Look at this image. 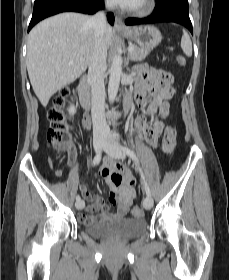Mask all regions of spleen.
Listing matches in <instances>:
<instances>
[{
    "instance_id": "1",
    "label": "spleen",
    "mask_w": 229,
    "mask_h": 280,
    "mask_svg": "<svg viewBox=\"0 0 229 280\" xmlns=\"http://www.w3.org/2000/svg\"><path fill=\"white\" fill-rule=\"evenodd\" d=\"M181 47L183 49V52L187 56L190 57L192 55V43H191L190 36L188 35V33L186 31L183 32V36L181 39Z\"/></svg>"
}]
</instances>
